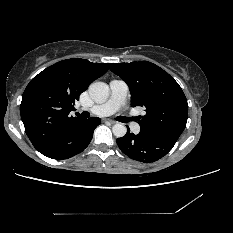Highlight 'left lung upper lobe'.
Returning <instances> with one entry per match:
<instances>
[{"label":"left lung upper lobe","instance_id":"1","mask_svg":"<svg viewBox=\"0 0 233 233\" xmlns=\"http://www.w3.org/2000/svg\"><path fill=\"white\" fill-rule=\"evenodd\" d=\"M109 66L129 86L132 107L146 108V115L138 121L140 132L176 143L186 126L188 103L175 79L148 61Z\"/></svg>","mask_w":233,"mask_h":233}]
</instances>
